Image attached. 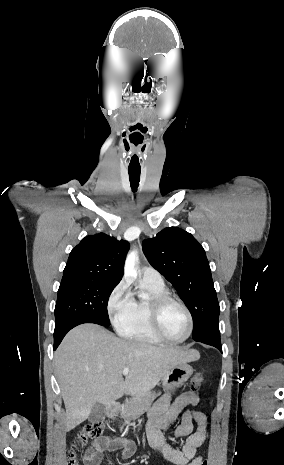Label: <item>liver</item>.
<instances>
[{
  "mask_svg": "<svg viewBox=\"0 0 284 465\" xmlns=\"http://www.w3.org/2000/svg\"><path fill=\"white\" fill-rule=\"evenodd\" d=\"M195 349L154 347L131 339H118L99 325L72 329L55 353V369L66 409V431L88 419L94 405L105 407L123 395L151 391L167 371L198 361ZM124 367H129L123 377Z\"/></svg>",
  "mask_w": 284,
  "mask_h": 465,
  "instance_id": "6515ba94",
  "label": "liver"
}]
</instances>
